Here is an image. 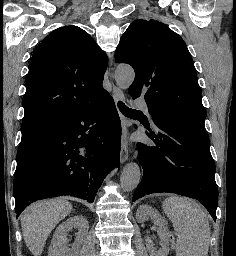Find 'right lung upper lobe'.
I'll return each mask as SVG.
<instances>
[{
  "mask_svg": "<svg viewBox=\"0 0 236 256\" xmlns=\"http://www.w3.org/2000/svg\"><path fill=\"white\" fill-rule=\"evenodd\" d=\"M106 65L107 55L83 29L65 26L51 32L31 58L23 121L60 120L104 97Z\"/></svg>",
  "mask_w": 236,
  "mask_h": 256,
  "instance_id": "obj_1",
  "label": "right lung upper lobe"
}]
</instances>
